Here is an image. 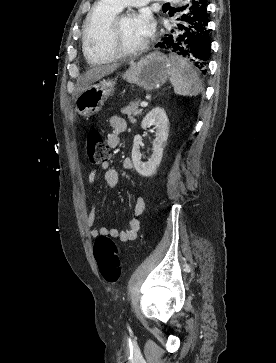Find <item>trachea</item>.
<instances>
[{
  "label": "trachea",
  "instance_id": "1",
  "mask_svg": "<svg viewBox=\"0 0 276 363\" xmlns=\"http://www.w3.org/2000/svg\"><path fill=\"white\" fill-rule=\"evenodd\" d=\"M169 5H170L169 3L164 4V6H169Z\"/></svg>",
  "mask_w": 276,
  "mask_h": 363
}]
</instances>
